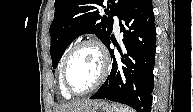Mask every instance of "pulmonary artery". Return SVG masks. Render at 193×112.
Masks as SVG:
<instances>
[{
  "label": "pulmonary artery",
  "mask_w": 193,
  "mask_h": 112,
  "mask_svg": "<svg viewBox=\"0 0 193 112\" xmlns=\"http://www.w3.org/2000/svg\"><path fill=\"white\" fill-rule=\"evenodd\" d=\"M114 28H115L116 30L119 29V19H118V17H115V18H114Z\"/></svg>",
  "instance_id": "pulmonary-artery-1"
}]
</instances>
